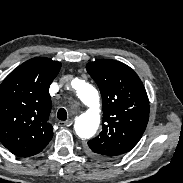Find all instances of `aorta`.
Instances as JSON below:
<instances>
[{"label": "aorta", "instance_id": "762f6f07", "mask_svg": "<svg viewBox=\"0 0 183 183\" xmlns=\"http://www.w3.org/2000/svg\"><path fill=\"white\" fill-rule=\"evenodd\" d=\"M77 97L89 109L75 121V132L80 138L89 139L95 135L100 124V100L98 91L84 80L75 81Z\"/></svg>", "mask_w": 183, "mask_h": 183}]
</instances>
